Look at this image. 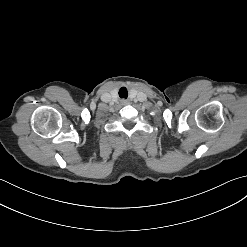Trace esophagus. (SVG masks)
Here are the masks:
<instances>
[{"label": "esophagus", "instance_id": "esophagus-1", "mask_svg": "<svg viewBox=\"0 0 247 247\" xmlns=\"http://www.w3.org/2000/svg\"><path fill=\"white\" fill-rule=\"evenodd\" d=\"M121 102H122V104H127L128 103L126 100H122Z\"/></svg>", "mask_w": 247, "mask_h": 247}]
</instances>
